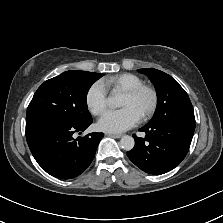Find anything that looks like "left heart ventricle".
Instances as JSON below:
<instances>
[{
  "mask_svg": "<svg viewBox=\"0 0 223 223\" xmlns=\"http://www.w3.org/2000/svg\"><path fill=\"white\" fill-rule=\"evenodd\" d=\"M150 101L151 99L148 93H143L136 98H130L123 95L120 106H131L141 117L142 113L145 112L150 106Z\"/></svg>",
  "mask_w": 223,
  "mask_h": 223,
  "instance_id": "obj_1",
  "label": "left heart ventricle"
}]
</instances>
